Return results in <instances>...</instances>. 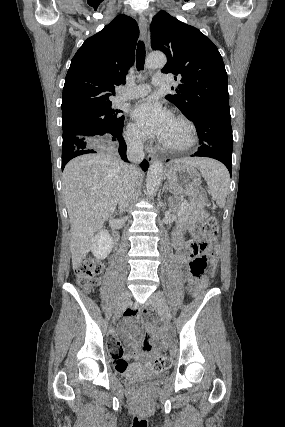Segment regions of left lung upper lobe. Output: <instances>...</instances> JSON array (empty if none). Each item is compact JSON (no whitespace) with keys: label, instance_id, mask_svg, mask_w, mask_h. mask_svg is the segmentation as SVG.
Segmentation results:
<instances>
[{"label":"left lung upper lobe","instance_id":"1","mask_svg":"<svg viewBox=\"0 0 285 427\" xmlns=\"http://www.w3.org/2000/svg\"><path fill=\"white\" fill-rule=\"evenodd\" d=\"M151 43L154 50L167 56L161 71L180 80L177 94L166 98L187 118L207 110L230 114L227 73L217 47L208 37L160 11L151 23Z\"/></svg>","mask_w":285,"mask_h":427}]
</instances>
